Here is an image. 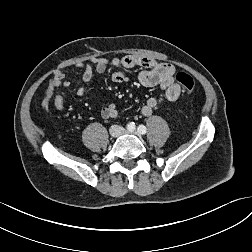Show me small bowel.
<instances>
[{
    "label": "small bowel",
    "instance_id": "small-bowel-1",
    "mask_svg": "<svg viewBox=\"0 0 252 252\" xmlns=\"http://www.w3.org/2000/svg\"><path fill=\"white\" fill-rule=\"evenodd\" d=\"M108 65L115 68H142L138 74V81L146 87H160L165 91V98L170 101H176L181 95V86L175 82L174 74L175 67L170 63L157 62L148 57H140L127 55L121 58L107 60L101 57H92L89 63L77 62L76 66L83 68L81 74V85L77 90L79 97H84L86 86L92 80L94 72L102 74L105 72ZM65 75L62 72H57L50 80L44 92L43 106L50 109V101L53 99L56 109L65 110V102L61 95L55 94V90L60 86L69 87L70 83L64 80ZM111 79L115 83H125L130 80V77L122 71H115L111 75ZM159 104V99L150 97L141 108V113L144 116H150L154 109ZM100 115L104 119H117L120 116L119 110L114 103L103 107Z\"/></svg>",
    "mask_w": 252,
    "mask_h": 252
}]
</instances>
